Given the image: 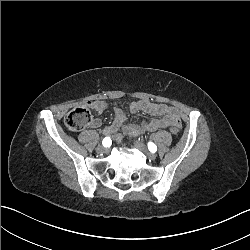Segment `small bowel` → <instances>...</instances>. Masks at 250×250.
<instances>
[{"instance_id":"c3829d8e","label":"small bowel","mask_w":250,"mask_h":250,"mask_svg":"<svg viewBox=\"0 0 250 250\" xmlns=\"http://www.w3.org/2000/svg\"><path fill=\"white\" fill-rule=\"evenodd\" d=\"M86 106L97 114L102 113L107 108V104L103 101H89ZM130 111L132 113L143 111L147 114L159 117L151 120H143L140 126L135 124H126L124 112L120 108L115 107L113 109L114 118L112 123L101 129V134L104 136H112L118 144H121L123 140V136L119 132L121 128L129 136L138 137L144 131L152 132L167 128L170 123H175L178 126V129L181 127V118L178 110L167 104L138 101L131 104ZM101 124V120L96 118L91 121L90 127L100 128Z\"/></svg>"}]
</instances>
